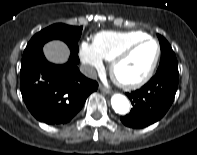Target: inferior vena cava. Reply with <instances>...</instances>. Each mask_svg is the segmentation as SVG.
I'll list each match as a JSON object with an SVG mask.
<instances>
[{"mask_svg":"<svg viewBox=\"0 0 197 155\" xmlns=\"http://www.w3.org/2000/svg\"><path fill=\"white\" fill-rule=\"evenodd\" d=\"M80 72L88 78L96 79L97 73L94 67L90 65H81Z\"/></svg>","mask_w":197,"mask_h":155,"instance_id":"1","label":"inferior vena cava"}]
</instances>
